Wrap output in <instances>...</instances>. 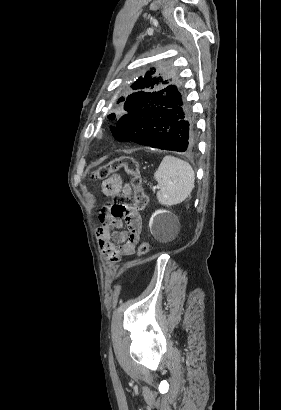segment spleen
Instances as JSON below:
<instances>
[{"instance_id":"obj_1","label":"spleen","mask_w":281,"mask_h":410,"mask_svg":"<svg viewBox=\"0 0 281 410\" xmlns=\"http://www.w3.org/2000/svg\"><path fill=\"white\" fill-rule=\"evenodd\" d=\"M160 191L158 201L167 206L186 200L194 188V171L189 163L176 157L165 156L154 173Z\"/></svg>"}]
</instances>
